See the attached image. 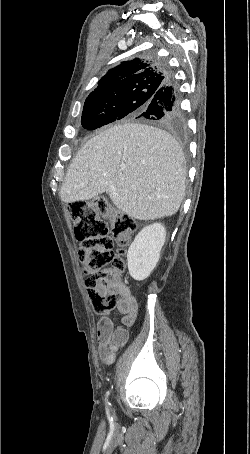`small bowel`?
<instances>
[{
  "instance_id": "small-bowel-1",
  "label": "small bowel",
  "mask_w": 250,
  "mask_h": 454,
  "mask_svg": "<svg viewBox=\"0 0 250 454\" xmlns=\"http://www.w3.org/2000/svg\"><path fill=\"white\" fill-rule=\"evenodd\" d=\"M120 295L122 299L118 303L117 311L122 315L121 325L115 327L107 313L100 318L97 325L98 353L105 365H111L117 350L127 343L129 329L135 323L138 313L137 301L124 284L121 285Z\"/></svg>"
}]
</instances>
